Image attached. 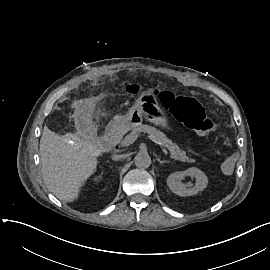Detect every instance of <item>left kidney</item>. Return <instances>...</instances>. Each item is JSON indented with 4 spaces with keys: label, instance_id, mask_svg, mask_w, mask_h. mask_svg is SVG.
I'll return each instance as SVG.
<instances>
[{
    "label": "left kidney",
    "instance_id": "left-kidney-1",
    "mask_svg": "<svg viewBox=\"0 0 270 270\" xmlns=\"http://www.w3.org/2000/svg\"><path fill=\"white\" fill-rule=\"evenodd\" d=\"M185 176H192L196 178L194 187L187 188V185L181 182ZM207 184V176L196 167L189 168L185 171L172 173L167 178V185L169 186L170 190L175 194L183 197L197 194L199 191L205 189Z\"/></svg>",
    "mask_w": 270,
    "mask_h": 270
}]
</instances>
